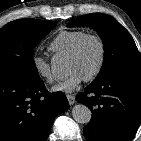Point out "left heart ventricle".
<instances>
[{"label":"left heart ventricle","mask_w":141,"mask_h":141,"mask_svg":"<svg viewBox=\"0 0 141 141\" xmlns=\"http://www.w3.org/2000/svg\"><path fill=\"white\" fill-rule=\"evenodd\" d=\"M100 57L98 44L91 40L86 43L77 58H68L66 63L67 72L76 71L84 78L89 76L97 67Z\"/></svg>","instance_id":"b2bd125f"}]
</instances>
